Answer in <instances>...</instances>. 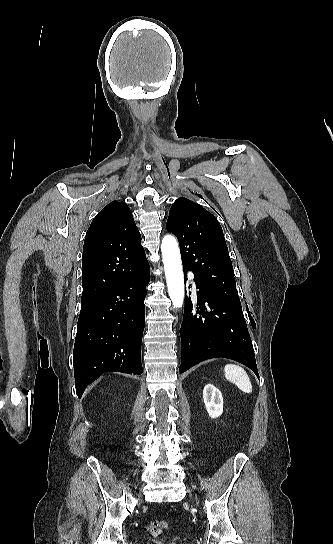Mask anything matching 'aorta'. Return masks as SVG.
I'll return each instance as SVG.
<instances>
[{
  "instance_id": "1",
  "label": "aorta",
  "mask_w": 333,
  "mask_h": 544,
  "mask_svg": "<svg viewBox=\"0 0 333 544\" xmlns=\"http://www.w3.org/2000/svg\"><path fill=\"white\" fill-rule=\"evenodd\" d=\"M169 297L174 308H181L184 301V278L179 247L173 236H165L161 243Z\"/></svg>"
}]
</instances>
